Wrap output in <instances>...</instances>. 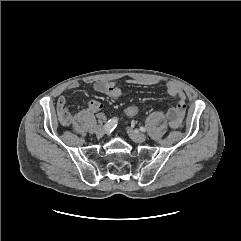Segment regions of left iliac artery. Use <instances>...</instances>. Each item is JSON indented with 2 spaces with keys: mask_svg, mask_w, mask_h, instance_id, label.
Listing matches in <instances>:
<instances>
[{
  "mask_svg": "<svg viewBox=\"0 0 241 241\" xmlns=\"http://www.w3.org/2000/svg\"><path fill=\"white\" fill-rule=\"evenodd\" d=\"M140 130H141L142 132H145V131H146V128H145V127H140Z\"/></svg>",
  "mask_w": 241,
  "mask_h": 241,
  "instance_id": "obj_1",
  "label": "left iliac artery"
}]
</instances>
